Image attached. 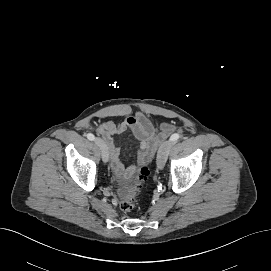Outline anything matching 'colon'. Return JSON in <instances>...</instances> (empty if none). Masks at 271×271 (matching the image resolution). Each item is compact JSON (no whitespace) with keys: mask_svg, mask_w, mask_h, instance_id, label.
Segmentation results:
<instances>
[{"mask_svg":"<svg viewBox=\"0 0 271 271\" xmlns=\"http://www.w3.org/2000/svg\"><path fill=\"white\" fill-rule=\"evenodd\" d=\"M149 175H150V166L149 162H146L141 166L137 173L135 185L133 188V194L123 199L120 203V209L124 213H130L134 209L136 204L135 195L138 192L139 188L141 187L142 183L147 179Z\"/></svg>","mask_w":271,"mask_h":271,"instance_id":"5ec220e1","label":"colon"}]
</instances>
